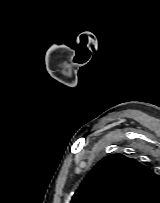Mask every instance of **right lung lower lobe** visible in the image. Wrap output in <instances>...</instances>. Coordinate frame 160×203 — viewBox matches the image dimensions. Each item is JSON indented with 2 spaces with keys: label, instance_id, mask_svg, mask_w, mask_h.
Here are the masks:
<instances>
[{
  "label": "right lung lower lobe",
  "instance_id": "98d812e1",
  "mask_svg": "<svg viewBox=\"0 0 160 203\" xmlns=\"http://www.w3.org/2000/svg\"><path fill=\"white\" fill-rule=\"evenodd\" d=\"M150 203H160V196L154 202H150Z\"/></svg>",
  "mask_w": 160,
  "mask_h": 203
}]
</instances>
